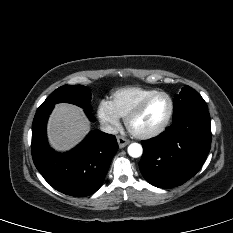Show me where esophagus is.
I'll use <instances>...</instances> for the list:
<instances>
[{"label": "esophagus", "instance_id": "34e87169", "mask_svg": "<svg viewBox=\"0 0 233 233\" xmlns=\"http://www.w3.org/2000/svg\"><path fill=\"white\" fill-rule=\"evenodd\" d=\"M117 142L120 148H124L126 145L130 143V140L122 137V136H117Z\"/></svg>", "mask_w": 233, "mask_h": 233}]
</instances>
